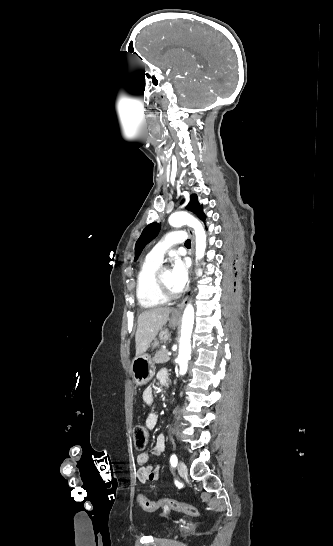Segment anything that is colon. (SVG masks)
I'll return each mask as SVG.
<instances>
[{
  "mask_svg": "<svg viewBox=\"0 0 333 546\" xmlns=\"http://www.w3.org/2000/svg\"><path fill=\"white\" fill-rule=\"evenodd\" d=\"M150 439L149 431L142 425H137L133 429V442L137 450H143L148 445ZM139 504L144 511L153 512L159 508H167L175 511L184 512L187 515L198 517L200 511L195 506L179 502L176 500L162 498L157 501H151L144 495H139Z\"/></svg>",
  "mask_w": 333,
  "mask_h": 546,
  "instance_id": "obj_1",
  "label": "colon"
}]
</instances>
